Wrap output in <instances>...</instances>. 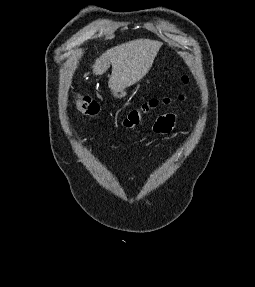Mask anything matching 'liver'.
<instances>
[{
  "label": "liver",
  "instance_id": "obj_1",
  "mask_svg": "<svg viewBox=\"0 0 255 287\" xmlns=\"http://www.w3.org/2000/svg\"><path fill=\"white\" fill-rule=\"evenodd\" d=\"M162 46L155 40H133L107 50L96 60L93 74L102 76L112 66L108 86L111 90H120L133 86L148 74Z\"/></svg>",
  "mask_w": 255,
  "mask_h": 287
}]
</instances>
